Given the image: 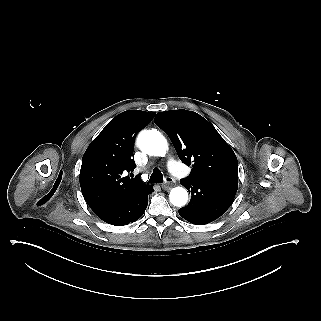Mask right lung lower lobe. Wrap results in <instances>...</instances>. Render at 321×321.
Returning a JSON list of instances; mask_svg holds the SVG:
<instances>
[{
    "label": "right lung lower lobe",
    "instance_id": "right-lung-lower-lobe-1",
    "mask_svg": "<svg viewBox=\"0 0 321 321\" xmlns=\"http://www.w3.org/2000/svg\"><path fill=\"white\" fill-rule=\"evenodd\" d=\"M151 186L133 194L129 198L116 204L98 209L94 213L106 223L122 226L138 220L148 205V195L153 192Z\"/></svg>",
    "mask_w": 321,
    "mask_h": 321
}]
</instances>
